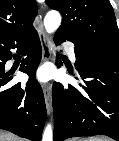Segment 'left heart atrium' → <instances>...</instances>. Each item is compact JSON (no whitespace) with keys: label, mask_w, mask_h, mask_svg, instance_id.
<instances>
[{"label":"left heart atrium","mask_w":119,"mask_h":141,"mask_svg":"<svg viewBox=\"0 0 119 141\" xmlns=\"http://www.w3.org/2000/svg\"><path fill=\"white\" fill-rule=\"evenodd\" d=\"M38 79L42 82L46 81L49 77V73L47 70H40L37 75Z\"/></svg>","instance_id":"1"}]
</instances>
